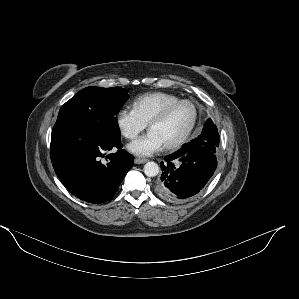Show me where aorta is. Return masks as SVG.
I'll list each match as a JSON object with an SVG mask.
<instances>
[{
  "label": "aorta",
  "instance_id": "1",
  "mask_svg": "<svg viewBox=\"0 0 299 299\" xmlns=\"http://www.w3.org/2000/svg\"><path fill=\"white\" fill-rule=\"evenodd\" d=\"M143 171L145 173L146 176L148 177H154L157 176L159 173V166L157 163L155 162H147L144 165Z\"/></svg>",
  "mask_w": 299,
  "mask_h": 299
}]
</instances>
